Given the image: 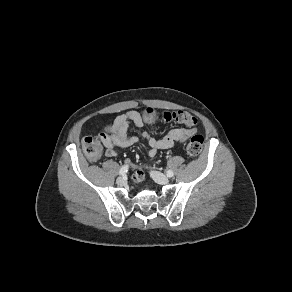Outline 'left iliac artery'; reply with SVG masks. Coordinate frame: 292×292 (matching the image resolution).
Returning <instances> with one entry per match:
<instances>
[{
	"instance_id": "obj_1",
	"label": "left iliac artery",
	"mask_w": 292,
	"mask_h": 292,
	"mask_svg": "<svg viewBox=\"0 0 292 292\" xmlns=\"http://www.w3.org/2000/svg\"><path fill=\"white\" fill-rule=\"evenodd\" d=\"M166 175H167L168 177H173L174 173H173V171L168 170V171L166 172Z\"/></svg>"
}]
</instances>
